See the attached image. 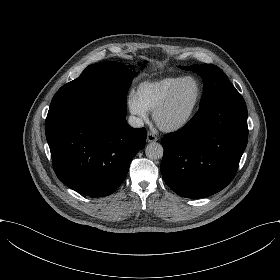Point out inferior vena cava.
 Here are the masks:
<instances>
[{
  "mask_svg": "<svg viewBox=\"0 0 280 280\" xmlns=\"http://www.w3.org/2000/svg\"><path fill=\"white\" fill-rule=\"evenodd\" d=\"M128 123L131 127L140 128L143 127L144 123L143 120L136 116H129Z\"/></svg>",
  "mask_w": 280,
  "mask_h": 280,
  "instance_id": "1",
  "label": "inferior vena cava"
}]
</instances>
